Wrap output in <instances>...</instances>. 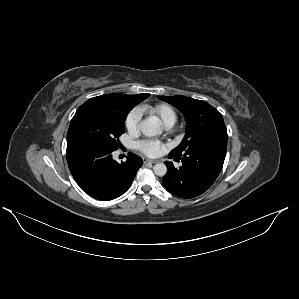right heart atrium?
Returning a JSON list of instances; mask_svg holds the SVG:
<instances>
[{"label": "right heart atrium", "mask_w": 299, "mask_h": 299, "mask_svg": "<svg viewBox=\"0 0 299 299\" xmlns=\"http://www.w3.org/2000/svg\"><path fill=\"white\" fill-rule=\"evenodd\" d=\"M141 118L142 110L140 108H135L128 114L125 121V126L129 133L135 134L138 132Z\"/></svg>", "instance_id": "right-heart-atrium-1"}]
</instances>
